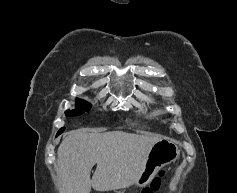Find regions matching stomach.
<instances>
[{
	"instance_id": "1",
	"label": "stomach",
	"mask_w": 237,
	"mask_h": 193,
	"mask_svg": "<svg viewBox=\"0 0 237 193\" xmlns=\"http://www.w3.org/2000/svg\"><path fill=\"white\" fill-rule=\"evenodd\" d=\"M178 156V146L171 140L156 142L149 150L141 174L134 184L140 187L147 185L161 167L174 162Z\"/></svg>"
}]
</instances>
